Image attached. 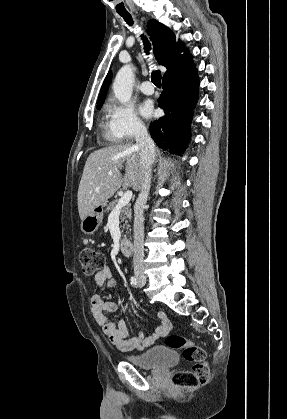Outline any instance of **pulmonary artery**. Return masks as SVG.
<instances>
[{
	"mask_svg": "<svg viewBox=\"0 0 287 419\" xmlns=\"http://www.w3.org/2000/svg\"><path fill=\"white\" fill-rule=\"evenodd\" d=\"M140 90L142 93L146 94V95H152L154 93V88L152 86V83L149 81H144L141 85H140Z\"/></svg>",
	"mask_w": 287,
	"mask_h": 419,
	"instance_id": "obj_1",
	"label": "pulmonary artery"
}]
</instances>
